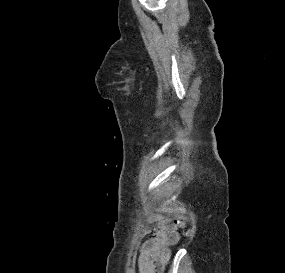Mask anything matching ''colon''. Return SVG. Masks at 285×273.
<instances>
[{
  "label": "colon",
  "mask_w": 285,
  "mask_h": 273,
  "mask_svg": "<svg viewBox=\"0 0 285 273\" xmlns=\"http://www.w3.org/2000/svg\"><path fill=\"white\" fill-rule=\"evenodd\" d=\"M175 229H184L186 226V219L183 216H177L172 222Z\"/></svg>",
  "instance_id": "5ec220e1"
}]
</instances>
